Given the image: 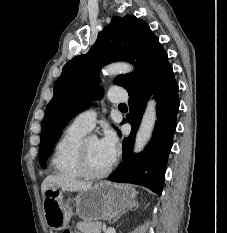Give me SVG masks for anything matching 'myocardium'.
Returning <instances> with one entry per match:
<instances>
[{
    "mask_svg": "<svg viewBox=\"0 0 227 233\" xmlns=\"http://www.w3.org/2000/svg\"><path fill=\"white\" fill-rule=\"evenodd\" d=\"M87 139H84L78 150V166L83 173L84 176L90 177V178H102L108 175L114 165H115V159L103 170L97 171L94 170L89 163L88 159V152H87Z\"/></svg>",
    "mask_w": 227,
    "mask_h": 233,
    "instance_id": "1",
    "label": "myocardium"
}]
</instances>
